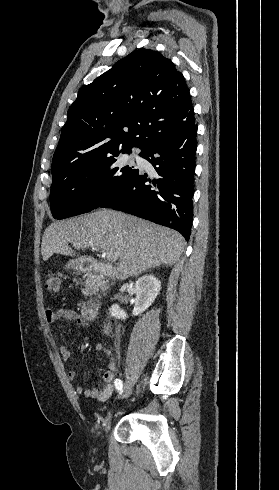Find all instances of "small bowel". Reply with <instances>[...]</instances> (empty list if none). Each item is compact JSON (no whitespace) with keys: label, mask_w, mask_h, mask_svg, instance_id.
I'll list each match as a JSON object with an SVG mask.
<instances>
[{"label":"small bowel","mask_w":279,"mask_h":490,"mask_svg":"<svg viewBox=\"0 0 279 490\" xmlns=\"http://www.w3.org/2000/svg\"><path fill=\"white\" fill-rule=\"evenodd\" d=\"M45 321L47 324H53L62 320L83 325L86 323V319L77 311L64 308H48L45 310ZM96 351L102 353L110 358L108 364V370L103 374L104 385L102 387H93L90 389L84 388L82 385H77L75 391L78 395H82L85 398H92L98 401H104L107 399L114 390V379L115 370L117 367V357L114 352L103 344H97L95 347ZM60 355L63 360L67 361L71 358L70 349L62 345L59 348ZM78 363L74 365L72 369L68 372V378L70 380H75L77 377Z\"/></svg>","instance_id":"1"}]
</instances>
